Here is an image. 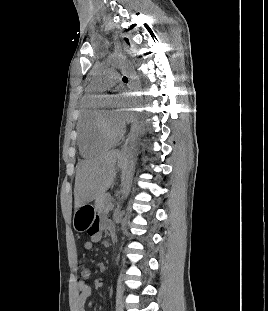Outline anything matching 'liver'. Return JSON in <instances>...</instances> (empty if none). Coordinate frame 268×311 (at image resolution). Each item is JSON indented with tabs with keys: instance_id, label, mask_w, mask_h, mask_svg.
I'll return each instance as SVG.
<instances>
[{
	"instance_id": "6515ba94",
	"label": "liver",
	"mask_w": 268,
	"mask_h": 311,
	"mask_svg": "<svg viewBox=\"0 0 268 311\" xmlns=\"http://www.w3.org/2000/svg\"><path fill=\"white\" fill-rule=\"evenodd\" d=\"M120 158L118 150H110L78 165L74 188L76 209L97 199L110 188L116 175L115 165Z\"/></svg>"
}]
</instances>
